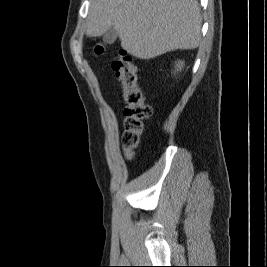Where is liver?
Here are the masks:
<instances>
[{"mask_svg": "<svg viewBox=\"0 0 267 267\" xmlns=\"http://www.w3.org/2000/svg\"><path fill=\"white\" fill-rule=\"evenodd\" d=\"M201 24L196 0H92L86 34L99 37L114 27L121 47L146 60L197 48Z\"/></svg>", "mask_w": 267, "mask_h": 267, "instance_id": "obj_1", "label": "liver"}]
</instances>
